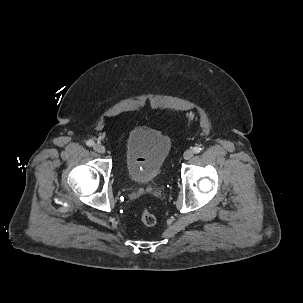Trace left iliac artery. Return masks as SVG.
<instances>
[{
  "instance_id": "1",
  "label": "left iliac artery",
  "mask_w": 303,
  "mask_h": 303,
  "mask_svg": "<svg viewBox=\"0 0 303 303\" xmlns=\"http://www.w3.org/2000/svg\"><path fill=\"white\" fill-rule=\"evenodd\" d=\"M193 151H194L195 153H200V152H201V148H200V147H194V148H193Z\"/></svg>"
}]
</instances>
